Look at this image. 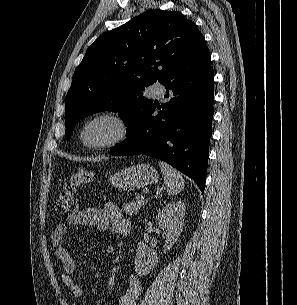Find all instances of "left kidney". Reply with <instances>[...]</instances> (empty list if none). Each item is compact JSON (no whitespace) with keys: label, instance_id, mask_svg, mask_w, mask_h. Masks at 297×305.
<instances>
[{"label":"left kidney","instance_id":"1","mask_svg":"<svg viewBox=\"0 0 297 305\" xmlns=\"http://www.w3.org/2000/svg\"><path fill=\"white\" fill-rule=\"evenodd\" d=\"M186 206L183 202H171L163 207L156 218V223L165 235L164 253H166L178 240L184 225ZM159 262L158 254L150 249L145 243L137 245L135 256V271L139 276H146L157 266Z\"/></svg>","mask_w":297,"mask_h":305}]
</instances>
